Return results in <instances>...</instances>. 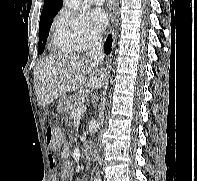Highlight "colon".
Instances as JSON below:
<instances>
[{"mask_svg":"<svg viewBox=\"0 0 197 181\" xmlns=\"http://www.w3.org/2000/svg\"><path fill=\"white\" fill-rule=\"evenodd\" d=\"M46 139L51 152L56 154L60 151L63 144V137L58 128L49 126L46 129Z\"/></svg>","mask_w":197,"mask_h":181,"instance_id":"obj_1","label":"colon"}]
</instances>
